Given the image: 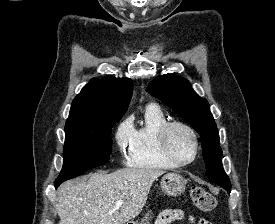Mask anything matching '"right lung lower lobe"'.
Wrapping results in <instances>:
<instances>
[{"label":"right lung lower lobe","mask_w":275,"mask_h":224,"mask_svg":"<svg viewBox=\"0 0 275 224\" xmlns=\"http://www.w3.org/2000/svg\"><path fill=\"white\" fill-rule=\"evenodd\" d=\"M61 183H55L54 186L57 188Z\"/></svg>","instance_id":"1"}]
</instances>
